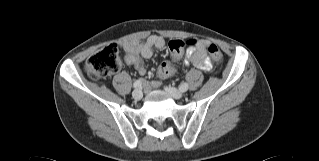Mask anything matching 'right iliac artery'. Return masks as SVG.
Here are the masks:
<instances>
[{"mask_svg": "<svg viewBox=\"0 0 319 161\" xmlns=\"http://www.w3.org/2000/svg\"><path fill=\"white\" fill-rule=\"evenodd\" d=\"M142 85V79L136 80L133 84L134 88H139Z\"/></svg>", "mask_w": 319, "mask_h": 161, "instance_id": "obj_1", "label": "right iliac artery"}]
</instances>
